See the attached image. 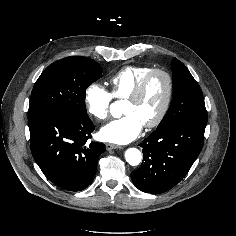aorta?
<instances>
[{"mask_svg":"<svg viewBox=\"0 0 236 236\" xmlns=\"http://www.w3.org/2000/svg\"><path fill=\"white\" fill-rule=\"evenodd\" d=\"M117 108L116 104H112L110 107L111 113L113 114ZM125 159L130 165L137 166L142 160V154L137 148H129L125 152Z\"/></svg>","mask_w":236,"mask_h":236,"instance_id":"762f6f07","label":"aorta"}]
</instances>
